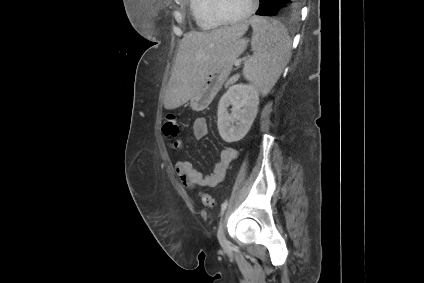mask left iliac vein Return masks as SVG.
Listing matches in <instances>:
<instances>
[{
	"label": "left iliac vein",
	"instance_id": "obj_1",
	"mask_svg": "<svg viewBox=\"0 0 424 283\" xmlns=\"http://www.w3.org/2000/svg\"><path fill=\"white\" fill-rule=\"evenodd\" d=\"M217 237L219 240L220 245L224 248L227 249L229 247V242L225 236V232H224V221L221 220L220 224H219V228H218V233H217Z\"/></svg>",
	"mask_w": 424,
	"mask_h": 283
}]
</instances>
